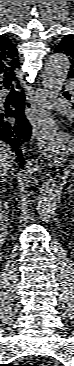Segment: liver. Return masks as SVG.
Returning <instances> with one entry per match:
<instances>
[{"instance_id":"obj_1","label":"liver","mask_w":74,"mask_h":366,"mask_svg":"<svg viewBox=\"0 0 74 366\" xmlns=\"http://www.w3.org/2000/svg\"><path fill=\"white\" fill-rule=\"evenodd\" d=\"M15 152L4 142H0V175L6 176L7 172L13 167Z\"/></svg>"}]
</instances>
